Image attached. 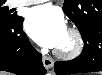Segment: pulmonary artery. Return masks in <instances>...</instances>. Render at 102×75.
<instances>
[{
    "label": "pulmonary artery",
    "mask_w": 102,
    "mask_h": 75,
    "mask_svg": "<svg viewBox=\"0 0 102 75\" xmlns=\"http://www.w3.org/2000/svg\"><path fill=\"white\" fill-rule=\"evenodd\" d=\"M16 2H17V5H22V4H28V3H42V2H45V0H18Z\"/></svg>",
    "instance_id": "obj_1"
}]
</instances>
